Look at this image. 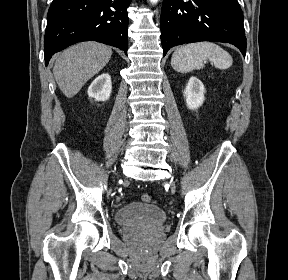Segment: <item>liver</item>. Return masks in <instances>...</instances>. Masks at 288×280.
<instances>
[{
    "instance_id": "liver-1",
    "label": "liver",
    "mask_w": 288,
    "mask_h": 280,
    "mask_svg": "<svg viewBox=\"0 0 288 280\" xmlns=\"http://www.w3.org/2000/svg\"><path fill=\"white\" fill-rule=\"evenodd\" d=\"M110 47L97 42H83L63 51L56 59L53 74L63 94L71 98L109 62Z\"/></svg>"
}]
</instances>
